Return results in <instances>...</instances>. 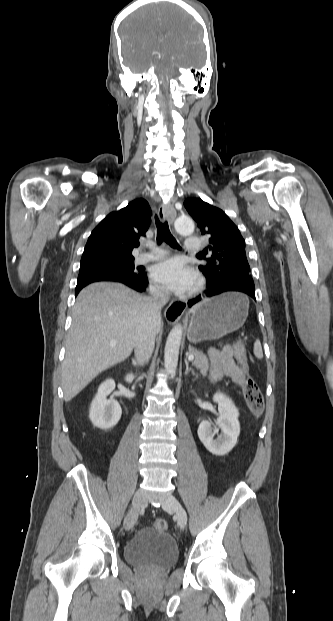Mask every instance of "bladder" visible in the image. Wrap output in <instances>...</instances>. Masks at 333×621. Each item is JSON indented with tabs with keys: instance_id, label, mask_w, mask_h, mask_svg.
Instances as JSON below:
<instances>
[{
	"instance_id": "obj_1",
	"label": "bladder",
	"mask_w": 333,
	"mask_h": 621,
	"mask_svg": "<svg viewBox=\"0 0 333 621\" xmlns=\"http://www.w3.org/2000/svg\"><path fill=\"white\" fill-rule=\"evenodd\" d=\"M124 557L138 567L167 568L176 562L178 548L167 531L144 527L125 545Z\"/></svg>"
}]
</instances>
